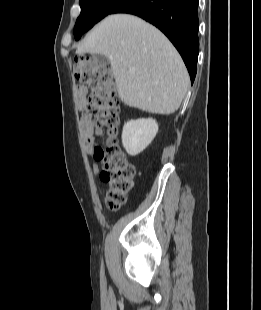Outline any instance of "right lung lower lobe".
I'll return each instance as SVG.
<instances>
[{"label":"right lung lower lobe","instance_id":"obj_1","mask_svg":"<svg viewBox=\"0 0 261 310\" xmlns=\"http://www.w3.org/2000/svg\"><path fill=\"white\" fill-rule=\"evenodd\" d=\"M198 1L124 0L110 14H134L159 28L179 51L193 83L199 53Z\"/></svg>","mask_w":261,"mask_h":310}]
</instances>
